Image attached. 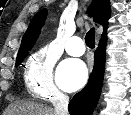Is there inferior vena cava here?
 Masks as SVG:
<instances>
[{
  "instance_id": "1",
  "label": "inferior vena cava",
  "mask_w": 131,
  "mask_h": 115,
  "mask_svg": "<svg viewBox=\"0 0 131 115\" xmlns=\"http://www.w3.org/2000/svg\"><path fill=\"white\" fill-rule=\"evenodd\" d=\"M52 103L56 115H68L69 97L67 95L62 93L56 94Z\"/></svg>"
}]
</instances>
